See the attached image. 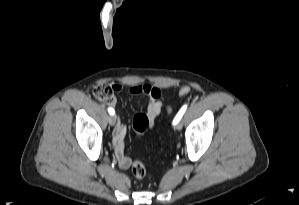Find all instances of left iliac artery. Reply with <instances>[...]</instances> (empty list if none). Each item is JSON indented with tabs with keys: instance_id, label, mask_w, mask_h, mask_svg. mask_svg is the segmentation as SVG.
Returning <instances> with one entry per match:
<instances>
[{
	"instance_id": "obj_1",
	"label": "left iliac artery",
	"mask_w": 299,
	"mask_h": 205,
	"mask_svg": "<svg viewBox=\"0 0 299 205\" xmlns=\"http://www.w3.org/2000/svg\"><path fill=\"white\" fill-rule=\"evenodd\" d=\"M186 109H187V104L183 105L182 108L179 110V112L177 113V115L173 120V125H176L180 121Z\"/></svg>"
}]
</instances>
